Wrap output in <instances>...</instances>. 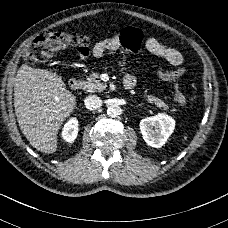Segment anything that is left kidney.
<instances>
[{"label": "left kidney", "mask_w": 228, "mask_h": 228, "mask_svg": "<svg viewBox=\"0 0 228 228\" xmlns=\"http://www.w3.org/2000/svg\"><path fill=\"white\" fill-rule=\"evenodd\" d=\"M174 128L175 120L165 113H158L140 121V130L144 141L154 148L162 147L173 133Z\"/></svg>", "instance_id": "1"}]
</instances>
